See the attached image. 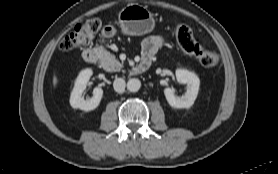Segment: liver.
<instances>
[{
	"label": "liver",
	"instance_id": "liver-1",
	"mask_svg": "<svg viewBox=\"0 0 278 174\" xmlns=\"http://www.w3.org/2000/svg\"><path fill=\"white\" fill-rule=\"evenodd\" d=\"M57 83H58V79H57L56 75H54L53 76V86L56 87Z\"/></svg>",
	"mask_w": 278,
	"mask_h": 174
}]
</instances>
